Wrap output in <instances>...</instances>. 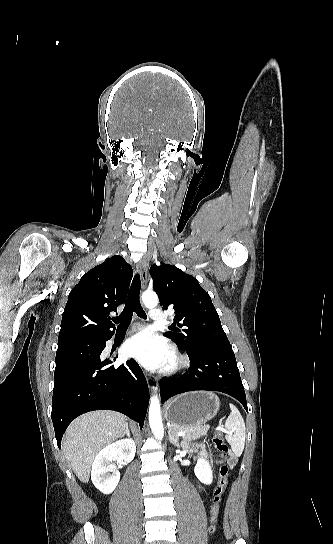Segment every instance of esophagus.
Instances as JSON below:
<instances>
[{"mask_svg": "<svg viewBox=\"0 0 333 544\" xmlns=\"http://www.w3.org/2000/svg\"><path fill=\"white\" fill-rule=\"evenodd\" d=\"M139 274L141 278V286L144 288L147 282L148 264L143 259L139 265ZM146 380L151 391L155 392L158 389V382L152 376L146 374Z\"/></svg>", "mask_w": 333, "mask_h": 544, "instance_id": "obj_1", "label": "esophagus"}]
</instances>
